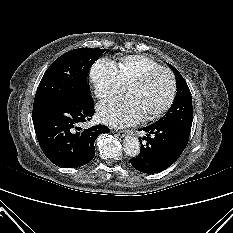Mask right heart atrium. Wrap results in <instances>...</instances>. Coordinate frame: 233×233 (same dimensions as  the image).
Wrapping results in <instances>:
<instances>
[{"instance_id":"1","label":"right heart atrium","mask_w":233,"mask_h":233,"mask_svg":"<svg viewBox=\"0 0 233 233\" xmlns=\"http://www.w3.org/2000/svg\"><path fill=\"white\" fill-rule=\"evenodd\" d=\"M90 80L99 99L115 95L123 86L117 66L107 59H99L93 64L90 69Z\"/></svg>"}]
</instances>
